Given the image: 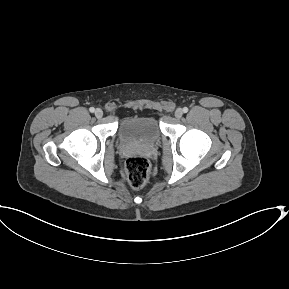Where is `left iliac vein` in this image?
<instances>
[{
    "mask_svg": "<svg viewBox=\"0 0 289 289\" xmlns=\"http://www.w3.org/2000/svg\"><path fill=\"white\" fill-rule=\"evenodd\" d=\"M182 115H183V110L180 109V108H178V109L175 111V117H176L177 119H180V118L182 117Z\"/></svg>",
    "mask_w": 289,
    "mask_h": 289,
    "instance_id": "obj_1",
    "label": "left iliac vein"
}]
</instances>
